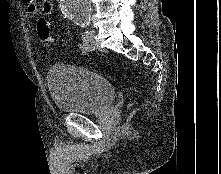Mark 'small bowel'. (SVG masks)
Returning <instances> with one entry per match:
<instances>
[{
  "instance_id": "obj_1",
  "label": "small bowel",
  "mask_w": 221,
  "mask_h": 174,
  "mask_svg": "<svg viewBox=\"0 0 221 174\" xmlns=\"http://www.w3.org/2000/svg\"><path fill=\"white\" fill-rule=\"evenodd\" d=\"M25 8L29 15L35 16L38 14L39 9L36 0H24ZM43 13L46 15H51L54 12L53 3L50 0H43L42 4Z\"/></svg>"
}]
</instances>
